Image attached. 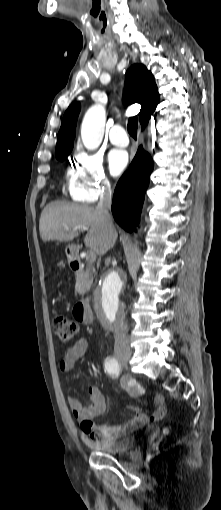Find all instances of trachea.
<instances>
[{"label":"trachea","mask_w":221,"mask_h":510,"mask_svg":"<svg viewBox=\"0 0 221 510\" xmlns=\"http://www.w3.org/2000/svg\"><path fill=\"white\" fill-rule=\"evenodd\" d=\"M128 132L133 138H137L138 119L137 117H131L128 121Z\"/></svg>","instance_id":"3493384b"}]
</instances>
